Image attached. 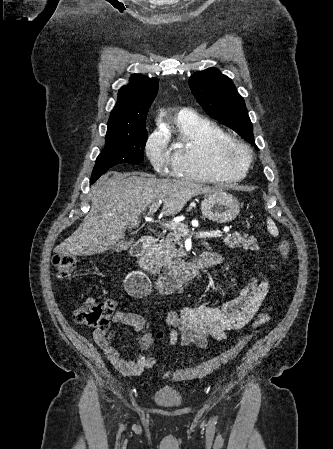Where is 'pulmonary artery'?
I'll use <instances>...</instances> for the list:
<instances>
[{
    "mask_svg": "<svg viewBox=\"0 0 333 449\" xmlns=\"http://www.w3.org/2000/svg\"><path fill=\"white\" fill-rule=\"evenodd\" d=\"M193 118H195L194 113L187 108H182L177 114L178 120H191Z\"/></svg>",
    "mask_w": 333,
    "mask_h": 449,
    "instance_id": "obj_1",
    "label": "pulmonary artery"
}]
</instances>
